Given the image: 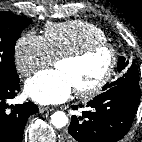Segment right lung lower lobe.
Segmentation results:
<instances>
[{"instance_id":"1","label":"right lung lower lobe","mask_w":142,"mask_h":142,"mask_svg":"<svg viewBox=\"0 0 142 142\" xmlns=\"http://www.w3.org/2000/svg\"><path fill=\"white\" fill-rule=\"evenodd\" d=\"M20 79L0 85V142H21L28 118L38 112L32 102L16 104L8 110L7 99L14 98L20 90Z\"/></svg>"}]
</instances>
